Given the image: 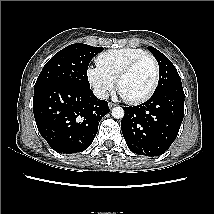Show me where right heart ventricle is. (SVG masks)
Returning <instances> with one entry per match:
<instances>
[{
  "mask_svg": "<svg viewBox=\"0 0 214 214\" xmlns=\"http://www.w3.org/2000/svg\"><path fill=\"white\" fill-rule=\"evenodd\" d=\"M144 54L147 53L139 48L113 49L99 54L96 58V64L116 80L127 64Z\"/></svg>",
  "mask_w": 214,
  "mask_h": 214,
  "instance_id": "right-heart-ventricle-1",
  "label": "right heart ventricle"
}]
</instances>
